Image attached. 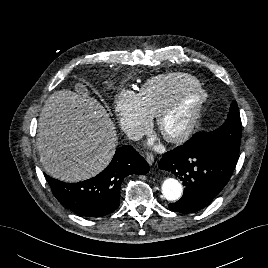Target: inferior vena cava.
Instances as JSON below:
<instances>
[{
	"instance_id": "obj_1",
	"label": "inferior vena cava",
	"mask_w": 268,
	"mask_h": 268,
	"mask_svg": "<svg viewBox=\"0 0 268 268\" xmlns=\"http://www.w3.org/2000/svg\"><path fill=\"white\" fill-rule=\"evenodd\" d=\"M125 132H126L128 138L131 140H139L141 138L140 132L134 128L126 127Z\"/></svg>"
}]
</instances>
